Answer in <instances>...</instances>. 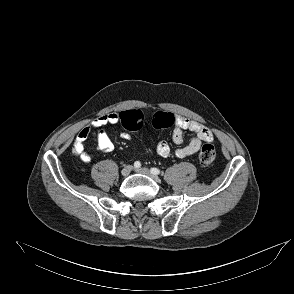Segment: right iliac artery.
<instances>
[{
	"label": "right iliac artery",
	"instance_id": "right-iliac-artery-1",
	"mask_svg": "<svg viewBox=\"0 0 294 294\" xmlns=\"http://www.w3.org/2000/svg\"><path fill=\"white\" fill-rule=\"evenodd\" d=\"M140 166H141V164H140L139 161H136V162L134 163V167H135V168H139Z\"/></svg>",
	"mask_w": 294,
	"mask_h": 294
}]
</instances>
